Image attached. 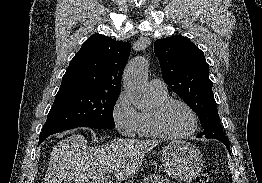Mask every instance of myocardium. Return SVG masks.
Instances as JSON below:
<instances>
[{
	"label": "myocardium",
	"mask_w": 262,
	"mask_h": 183,
	"mask_svg": "<svg viewBox=\"0 0 262 183\" xmlns=\"http://www.w3.org/2000/svg\"><path fill=\"white\" fill-rule=\"evenodd\" d=\"M174 104L184 106L193 117V127L183 134H171L167 132L163 126V116L165 112ZM150 124L154 134L163 139H184L193 135L199 127V118L195 109L186 101L178 98H167L163 102L157 104L150 112Z\"/></svg>",
	"instance_id": "1"
}]
</instances>
